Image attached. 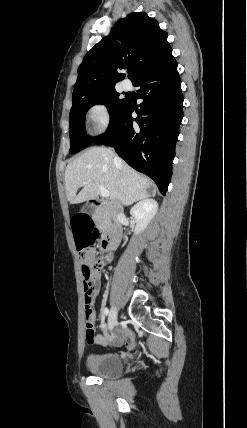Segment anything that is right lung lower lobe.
I'll list each match as a JSON object with an SVG mask.
<instances>
[{
    "instance_id": "1",
    "label": "right lung lower lobe",
    "mask_w": 247,
    "mask_h": 428,
    "mask_svg": "<svg viewBox=\"0 0 247 428\" xmlns=\"http://www.w3.org/2000/svg\"><path fill=\"white\" fill-rule=\"evenodd\" d=\"M136 106L130 99L95 144L114 146L131 167L153 179L165 195L172 176V161L183 118V95L177 62L171 55L158 67L141 75ZM135 111L137 118H132Z\"/></svg>"
}]
</instances>
